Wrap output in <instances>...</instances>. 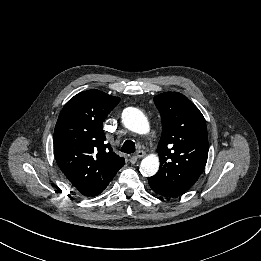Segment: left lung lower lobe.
Instances as JSON below:
<instances>
[{
  "mask_svg": "<svg viewBox=\"0 0 261 261\" xmlns=\"http://www.w3.org/2000/svg\"><path fill=\"white\" fill-rule=\"evenodd\" d=\"M148 183L151 187V189L161 195V196H164V197H176L175 195L169 193L167 190H165L160 184H158L155 180L151 179V178H148Z\"/></svg>",
  "mask_w": 261,
  "mask_h": 261,
  "instance_id": "left-lung-lower-lobe-1",
  "label": "left lung lower lobe"
}]
</instances>
